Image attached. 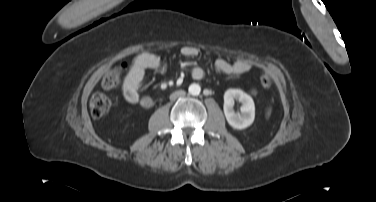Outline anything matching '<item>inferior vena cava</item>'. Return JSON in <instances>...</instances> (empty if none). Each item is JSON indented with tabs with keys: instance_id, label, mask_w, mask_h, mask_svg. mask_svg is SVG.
<instances>
[{
	"instance_id": "obj_1",
	"label": "inferior vena cava",
	"mask_w": 376,
	"mask_h": 202,
	"mask_svg": "<svg viewBox=\"0 0 376 202\" xmlns=\"http://www.w3.org/2000/svg\"><path fill=\"white\" fill-rule=\"evenodd\" d=\"M184 94H185L184 92H177V93H175L174 95L171 96V99L173 100L177 97L183 96Z\"/></svg>"
}]
</instances>
